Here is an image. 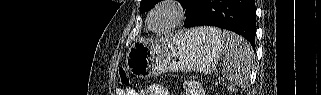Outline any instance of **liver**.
<instances>
[{
    "label": "liver",
    "mask_w": 321,
    "mask_h": 95,
    "mask_svg": "<svg viewBox=\"0 0 321 95\" xmlns=\"http://www.w3.org/2000/svg\"><path fill=\"white\" fill-rule=\"evenodd\" d=\"M198 31H200L201 33H203L200 29H198Z\"/></svg>",
    "instance_id": "6515ba94"
}]
</instances>
